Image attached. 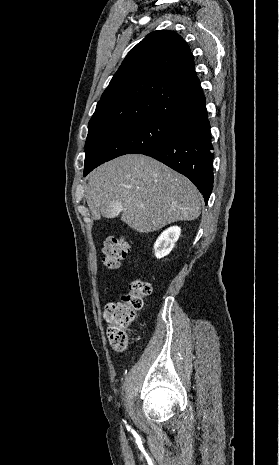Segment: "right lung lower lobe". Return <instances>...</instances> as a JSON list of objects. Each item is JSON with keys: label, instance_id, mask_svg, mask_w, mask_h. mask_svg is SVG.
Masks as SVG:
<instances>
[{"label": "right lung lower lobe", "instance_id": "obj_1", "mask_svg": "<svg viewBox=\"0 0 279 465\" xmlns=\"http://www.w3.org/2000/svg\"><path fill=\"white\" fill-rule=\"evenodd\" d=\"M141 153L185 175L208 202L213 188L214 153L205 104L181 116L167 137Z\"/></svg>", "mask_w": 279, "mask_h": 465}]
</instances>
